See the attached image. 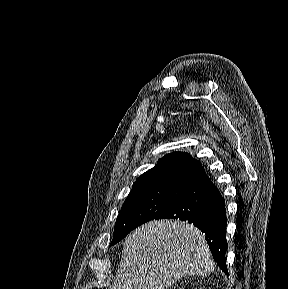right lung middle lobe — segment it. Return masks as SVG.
<instances>
[{
    "mask_svg": "<svg viewBox=\"0 0 288 289\" xmlns=\"http://www.w3.org/2000/svg\"><path fill=\"white\" fill-rule=\"evenodd\" d=\"M186 191L170 187L131 191L119 212L110 246L121 241L134 228L160 216L181 200Z\"/></svg>",
    "mask_w": 288,
    "mask_h": 289,
    "instance_id": "1",
    "label": "right lung middle lobe"
}]
</instances>
